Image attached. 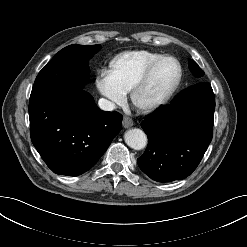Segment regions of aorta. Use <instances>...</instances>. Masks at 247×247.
Instances as JSON below:
<instances>
[{"instance_id":"obj_1","label":"aorta","mask_w":247,"mask_h":247,"mask_svg":"<svg viewBox=\"0 0 247 247\" xmlns=\"http://www.w3.org/2000/svg\"><path fill=\"white\" fill-rule=\"evenodd\" d=\"M126 144L135 150L143 149L147 144V136L141 129H130L124 135Z\"/></svg>"}]
</instances>
